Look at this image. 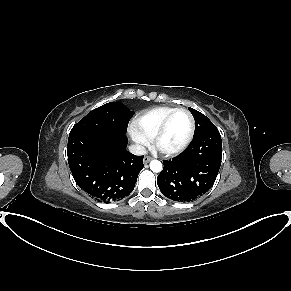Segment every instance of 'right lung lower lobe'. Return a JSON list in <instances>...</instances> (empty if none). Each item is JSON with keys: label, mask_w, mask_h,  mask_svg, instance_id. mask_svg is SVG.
I'll return each mask as SVG.
<instances>
[{"label": "right lung lower lobe", "mask_w": 291, "mask_h": 291, "mask_svg": "<svg viewBox=\"0 0 291 291\" xmlns=\"http://www.w3.org/2000/svg\"><path fill=\"white\" fill-rule=\"evenodd\" d=\"M127 137L114 131H84L69 135L67 156L78 186L99 202L111 203L134 189L144 156L126 150Z\"/></svg>", "instance_id": "obj_1"}]
</instances>
